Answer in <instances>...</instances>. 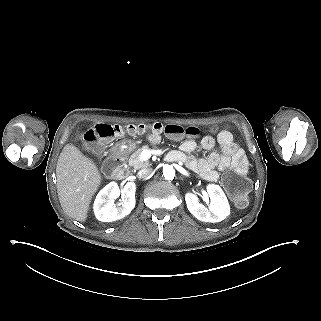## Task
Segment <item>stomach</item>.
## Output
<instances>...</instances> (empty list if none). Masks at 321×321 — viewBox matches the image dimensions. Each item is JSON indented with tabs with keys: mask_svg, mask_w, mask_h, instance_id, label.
<instances>
[{
	"mask_svg": "<svg viewBox=\"0 0 321 321\" xmlns=\"http://www.w3.org/2000/svg\"><path fill=\"white\" fill-rule=\"evenodd\" d=\"M123 144H126V145H129V143L127 141H120L116 144V147L119 148V146L123 145Z\"/></svg>",
	"mask_w": 321,
	"mask_h": 321,
	"instance_id": "obj_1",
	"label": "stomach"
}]
</instances>
